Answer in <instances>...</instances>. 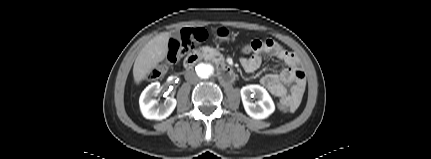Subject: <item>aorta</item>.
<instances>
[{"label": "aorta", "mask_w": 431, "mask_h": 159, "mask_svg": "<svg viewBox=\"0 0 431 159\" xmlns=\"http://www.w3.org/2000/svg\"><path fill=\"white\" fill-rule=\"evenodd\" d=\"M195 71L201 79H209L214 73V67L210 63L201 62L196 65Z\"/></svg>", "instance_id": "obj_1"}]
</instances>
